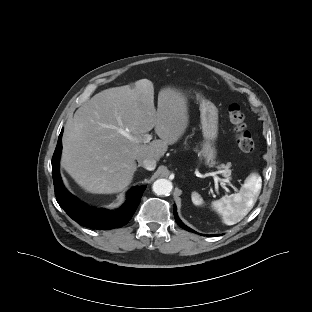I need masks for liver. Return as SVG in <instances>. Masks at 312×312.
Wrapping results in <instances>:
<instances>
[{
	"label": "liver",
	"instance_id": "1",
	"mask_svg": "<svg viewBox=\"0 0 312 312\" xmlns=\"http://www.w3.org/2000/svg\"><path fill=\"white\" fill-rule=\"evenodd\" d=\"M157 107L148 79L97 93L77 109L65 127L63 168L87 192L122 191L132 182L138 157L159 161L188 127L187 99L181 91L161 89ZM153 128L160 139L144 143V135ZM120 130L137 140H129Z\"/></svg>",
	"mask_w": 312,
	"mask_h": 312
}]
</instances>
